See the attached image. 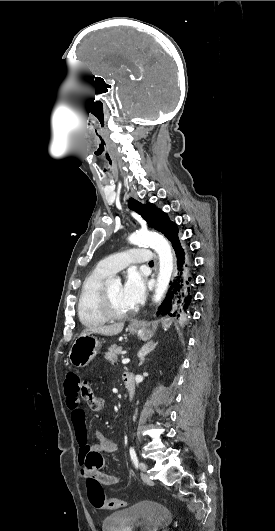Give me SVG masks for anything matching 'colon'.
<instances>
[{"mask_svg": "<svg viewBox=\"0 0 275 531\" xmlns=\"http://www.w3.org/2000/svg\"><path fill=\"white\" fill-rule=\"evenodd\" d=\"M81 393L80 400L81 402H87L90 409L94 411H100L103 407L102 397L94 391V384L92 381H83L81 384ZM84 487L88 489L87 494L90 496L91 501H93L92 506L98 511L110 510V509H122V505H126V502L110 500L107 502V505H104V494L105 491L101 488L100 484L88 478L84 482Z\"/></svg>", "mask_w": 275, "mask_h": 531, "instance_id": "1", "label": "colon"}]
</instances>
